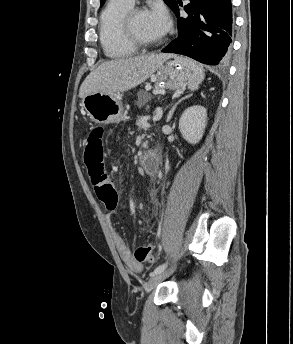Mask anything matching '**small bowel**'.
<instances>
[{"instance_id": "c3829d8e", "label": "small bowel", "mask_w": 293, "mask_h": 344, "mask_svg": "<svg viewBox=\"0 0 293 344\" xmlns=\"http://www.w3.org/2000/svg\"><path fill=\"white\" fill-rule=\"evenodd\" d=\"M113 213L107 215V220L109 224L112 223ZM112 237L115 243V246L125 264L134 272L138 273L142 270L143 264L137 261L131 253L130 248L128 247L124 238L113 228L111 227Z\"/></svg>"}]
</instances>
